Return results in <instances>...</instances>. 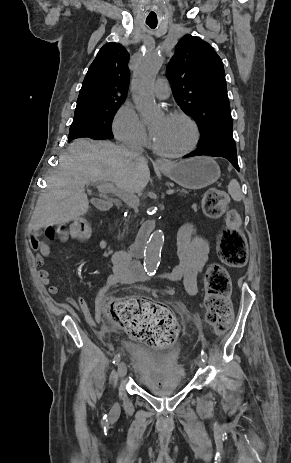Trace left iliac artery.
I'll return each instance as SVG.
<instances>
[{
    "label": "left iliac artery",
    "mask_w": 291,
    "mask_h": 463,
    "mask_svg": "<svg viewBox=\"0 0 291 463\" xmlns=\"http://www.w3.org/2000/svg\"><path fill=\"white\" fill-rule=\"evenodd\" d=\"M201 358L203 362H206L208 358L206 352L203 350L201 351Z\"/></svg>",
    "instance_id": "obj_1"
}]
</instances>
